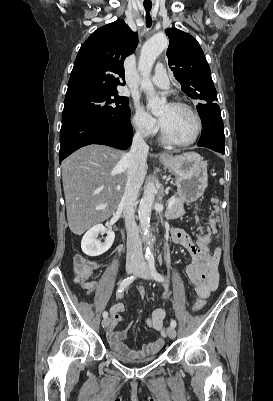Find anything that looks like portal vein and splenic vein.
Wrapping results in <instances>:
<instances>
[{"instance_id":"18ae733b","label":"portal vein and splenic vein","mask_w":273,"mask_h":401,"mask_svg":"<svg viewBox=\"0 0 273 401\" xmlns=\"http://www.w3.org/2000/svg\"><path fill=\"white\" fill-rule=\"evenodd\" d=\"M174 200L175 197H172L171 201L165 202V205L173 206L174 205ZM107 205H98V207H96V209H106Z\"/></svg>"}]
</instances>
